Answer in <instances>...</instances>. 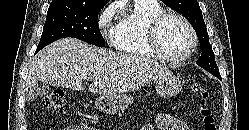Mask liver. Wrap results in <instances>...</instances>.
I'll use <instances>...</instances> for the list:
<instances>
[{"instance_id":"6515ba94","label":"liver","mask_w":249,"mask_h":130,"mask_svg":"<svg viewBox=\"0 0 249 130\" xmlns=\"http://www.w3.org/2000/svg\"><path fill=\"white\" fill-rule=\"evenodd\" d=\"M171 74L149 58L115 53L64 38L42 49L30 64L26 91L37 81L73 90H84L83 79L91 81L89 91L115 95L139 89Z\"/></svg>"}]
</instances>
